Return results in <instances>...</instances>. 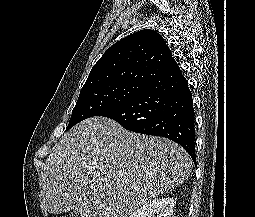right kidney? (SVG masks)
Instances as JSON below:
<instances>
[{
	"mask_svg": "<svg viewBox=\"0 0 255 217\" xmlns=\"http://www.w3.org/2000/svg\"><path fill=\"white\" fill-rule=\"evenodd\" d=\"M175 201L170 197L155 198L146 202L141 208L135 210L130 217H171Z\"/></svg>",
	"mask_w": 255,
	"mask_h": 217,
	"instance_id": "1",
	"label": "right kidney"
}]
</instances>
